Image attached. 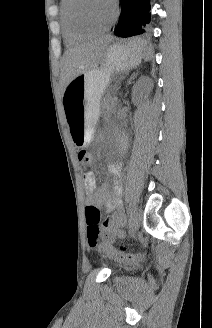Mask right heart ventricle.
<instances>
[{"mask_svg": "<svg viewBox=\"0 0 212 328\" xmlns=\"http://www.w3.org/2000/svg\"><path fill=\"white\" fill-rule=\"evenodd\" d=\"M71 3V0H61L60 3V21L62 32L65 42L69 45L81 42L94 34L92 32L79 30L73 26L69 16V8Z\"/></svg>", "mask_w": 212, "mask_h": 328, "instance_id": "e07e8e85", "label": "right heart ventricle"}]
</instances>
